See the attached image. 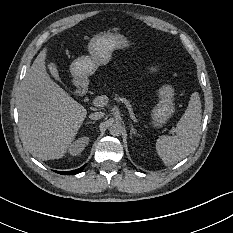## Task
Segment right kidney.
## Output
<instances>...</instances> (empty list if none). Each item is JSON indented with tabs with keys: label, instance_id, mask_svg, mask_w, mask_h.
I'll return each instance as SVG.
<instances>
[{
	"label": "right kidney",
	"instance_id": "1",
	"mask_svg": "<svg viewBox=\"0 0 233 233\" xmlns=\"http://www.w3.org/2000/svg\"><path fill=\"white\" fill-rule=\"evenodd\" d=\"M89 144V137H81L75 140L68 148V152L72 156H77L85 149Z\"/></svg>",
	"mask_w": 233,
	"mask_h": 233
}]
</instances>
